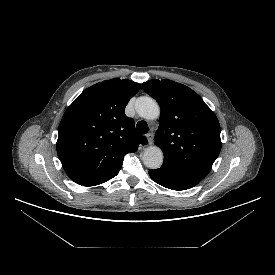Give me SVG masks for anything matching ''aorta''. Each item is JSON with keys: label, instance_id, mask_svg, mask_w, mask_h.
<instances>
[{"label": "aorta", "instance_id": "obj_1", "mask_svg": "<svg viewBox=\"0 0 275 275\" xmlns=\"http://www.w3.org/2000/svg\"><path fill=\"white\" fill-rule=\"evenodd\" d=\"M137 113L148 120L159 117L160 108L157 102L151 97H139L135 102ZM143 162L150 169H158L163 163V152L157 146L148 147L143 154Z\"/></svg>", "mask_w": 275, "mask_h": 275}]
</instances>
